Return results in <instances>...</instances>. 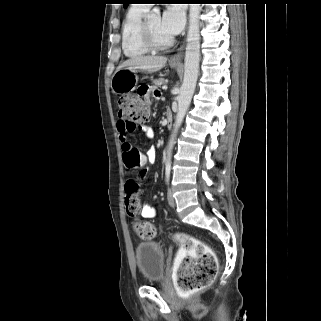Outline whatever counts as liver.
<instances>
[{"mask_svg": "<svg viewBox=\"0 0 321 321\" xmlns=\"http://www.w3.org/2000/svg\"><path fill=\"white\" fill-rule=\"evenodd\" d=\"M166 62L167 58L164 56H137L124 61L117 70L130 69L153 73L161 70Z\"/></svg>", "mask_w": 321, "mask_h": 321, "instance_id": "liver-1", "label": "liver"}]
</instances>
